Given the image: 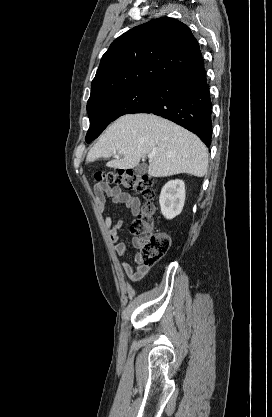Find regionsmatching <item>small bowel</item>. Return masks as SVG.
I'll list each match as a JSON object with an SVG mask.
<instances>
[{
  "instance_id": "c3829d8e",
  "label": "small bowel",
  "mask_w": 272,
  "mask_h": 417,
  "mask_svg": "<svg viewBox=\"0 0 272 417\" xmlns=\"http://www.w3.org/2000/svg\"><path fill=\"white\" fill-rule=\"evenodd\" d=\"M94 198L97 209L103 213L109 202L121 204L128 208L133 216H137L141 210V201L138 197L123 191L120 187L111 186L106 182H99L94 186ZM106 230L109 234L110 240L113 243L114 251L118 256H125L127 253V246L120 241V230L123 226L122 220L113 222L110 216H106L104 220ZM132 244L134 247H139V239L133 238ZM121 268L127 278L133 282H139L148 273L150 267L141 263L140 254L134 257V263L122 262Z\"/></svg>"
}]
</instances>
